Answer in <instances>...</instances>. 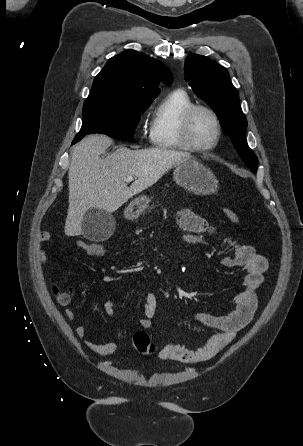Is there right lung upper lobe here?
Masks as SVG:
<instances>
[{
	"label": "right lung upper lobe",
	"instance_id": "cb5924a9",
	"mask_svg": "<svg viewBox=\"0 0 303 446\" xmlns=\"http://www.w3.org/2000/svg\"><path fill=\"white\" fill-rule=\"evenodd\" d=\"M160 82H173L170 70L155 58L128 50L108 60L95 77L83 107L150 106L160 92Z\"/></svg>",
	"mask_w": 303,
	"mask_h": 446
}]
</instances>
